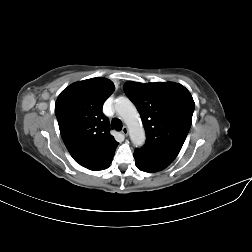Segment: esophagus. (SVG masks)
Here are the masks:
<instances>
[{
	"mask_svg": "<svg viewBox=\"0 0 252 252\" xmlns=\"http://www.w3.org/2000/svg\"><path fill=\"white\" fill-rule=\"evenodd\" d=\"M121 133H122L124 136H127V135H128V128H127L126 126H124V127L122 128Z\"/></svg>",
	"mask_w": 252,
	"mask_h": 252,
	"instance_id": "esophagus-1",
	"label": "esophagus"
}]
</instances>
